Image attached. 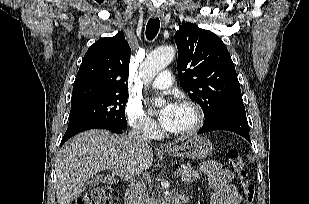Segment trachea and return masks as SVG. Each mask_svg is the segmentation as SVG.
<instances>
[{"mask_svg":"<svg viewBox=\"0 0 309 204\" xmlns=\"http://www.w3.org/2000/svg\"><path fill=\"white\" fill-rule=\"evenodd\" d=\"M160 27V21L158 18L149 19L146 26V37L148 40H153L157 35Z\"/></svg>","mask_w":309,"mask_h":204,"instance_id":"obj_1","label":"trachea"}]
</instances>
